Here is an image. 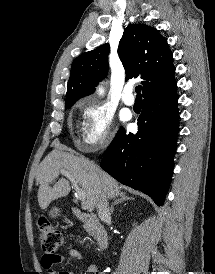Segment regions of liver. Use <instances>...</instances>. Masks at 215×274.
I'll return each mask as SVG.
<instances>
[{
  "label": "liver",
  "instance_id": "liver-1",
  "mask_svg": "<svg viewBox=\"0 0 215 274\" xmlns=\"http://www.w3.org/2000/svg\"><path fill=\"white\" fill-rule=\"evenodd\" d=\"M61 170L70 173L86 193V208L90 212L97 207L103 190L108 198L118 197L122 193L118 182L93 162L65 152L63 148H56L43 159L36 173V183L39 184L38 203L41 209L69 194L70 184L64 178L59 179L53 187L49 186Z\"/></svg>",
  "mask_w": 215,
  "mask_h": 274
}]
</instances>
